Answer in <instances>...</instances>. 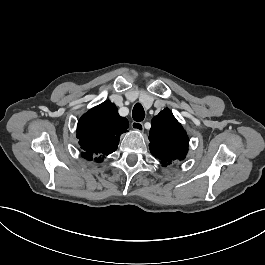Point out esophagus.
<instances>
[{"instance_id": "1", "label": "esophagus", "mask_w": 265, "mask_h": 265, "mask_svg": "<svg viewBox=\"0 0 265 265\" xmlns=\"http://www.w3.org/2000/svg\"><path fill=\"white\" fill-rule=\"evenodd\" d=\"M131 126L133 130L139 131L141 133L144 132V126L142 122L133 121Z\"/></svg>"}]
</instances>
